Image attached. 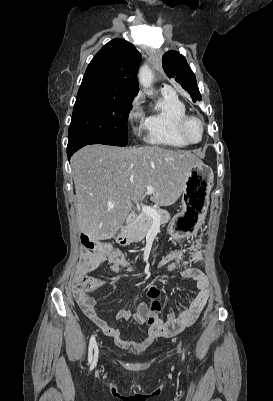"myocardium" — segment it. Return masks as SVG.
<instances>
[{
  "mask_svg": "<svg viewBox=\"0 0 273 401\" xmlns=\"http://www.w3.org/2000/svg\"><path fill=\"white\" fill-rule=\"evenodd\" d=\"M191 120H197L201 124L203 134H202V138L199 141H191L186 137L185 129ZM176 133L179 136V138L181 140H183L185 143H187L188 145H198L205 141L208 131H207L206 123L204 122V120L202 118L197 117L195 115H187L177 123Z\"/></svg>",
  "mask_w": 273,
  "mask_h": 401,
  "instance_id": "1",
  "label": "myocardium"
}]
</instances>
